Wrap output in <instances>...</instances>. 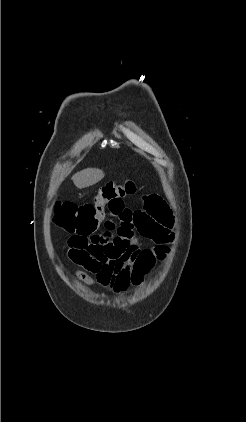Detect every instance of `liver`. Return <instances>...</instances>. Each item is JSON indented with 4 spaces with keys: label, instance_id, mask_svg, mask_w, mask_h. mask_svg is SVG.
Listing matches in <instances>:
<instances>
[{
    "label": "liver",
    "instance_id": "6515ba94",
    "mask_svg": "<svg viewBox=\"0 0 246 422\" xmlns=\"http://www.w3.org/2000/svg\"><path fill=\"white\" fill-rule=\"evenodd\" d=\"M104 173L100 169L87 168L72 176L74 185L79 188L92 186L103 179Z\"/></svg>",
    "mask_w": 246,
    "mask_h": 422
}]
</instances>
